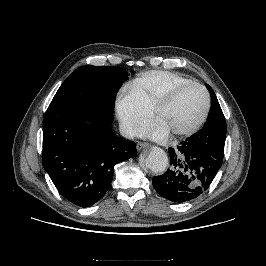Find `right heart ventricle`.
Wrapping results in <instances>:
<instances>
[{
    "mask_svg": "<svg viewBox=\"0 0 266 266\" xmlns=\"http://www.w3.org/2000/svg\"><path fill=\"white\" fill-rule=\"evenodd\" d=\"M191 79L175 72L153 70L141 74L128 86L152 111L156 103L172 88Z\"/></svg>",
    "mask_w": 266,
    "mask_h": 266,
    "instance_id": "e07e8e85",
    "label": "right heart ventricle"
}]
</instances>
